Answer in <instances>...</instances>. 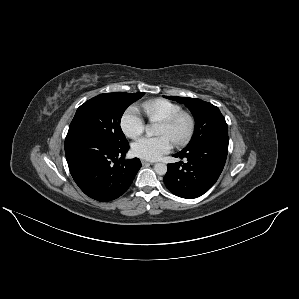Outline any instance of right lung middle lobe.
<instances>
[{"mask_svg": "<svg viewBox=\"0 0 299 299\" xmlns=\"http://www.w3.org/2000/svg\"><path fill=\"white\" fill-rule=\"evenodd\" d=\"M144 93H105L82 104L69 126L67 136L96 135L121 145L127 143L120 121L126 108Z\"/></svg>", "mask_w": 299, "mask_h": 299, "instance_id": "right-lung-middle-lobe-1", "label": "right lung middle lobe"}]
</instances>
